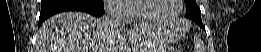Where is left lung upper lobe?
<instances>
[{"mask_svg":"<svg viewBox=\"0 0 261 52\" xmlns=\"http://www.w3.org/2000/svg\"><path fill=\"white\" fill-rule=\"evenodd\" d=\"M186 2V18H190L198 23L201 27L203 26L201 21V11L196 4V0H185Z\"/></svg>","mask_w":261,"mask_h":52,"instance_id":"obj_1","label":"left lung upper lobe"}]
</instances>
